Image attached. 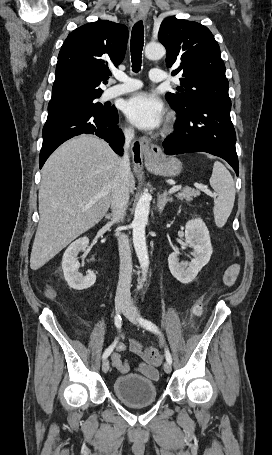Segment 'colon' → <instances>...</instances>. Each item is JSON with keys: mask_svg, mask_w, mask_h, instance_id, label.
Instances as JSON below:
<instances>
[{"mask_svg": "<svg viewBox=\"0 0 272 455\" xmlns=\"http://www.w3.org/2000/svg\"><path fill=\"white\" fill-rule=\"evenodd\" d=\"M47 296L48 297H54V292L52 289L47 290ZM193 314L195 316H200L202 314V306L200 304H196L193 307ZM145 358L152 364H160L162 362V354L159 352V350L155 348H147L145 351Z\"/></svg>", "mask_w": 272, "mask_h": 455, "instance_id": "colon-1", "label": "colon"}]
</instances>
